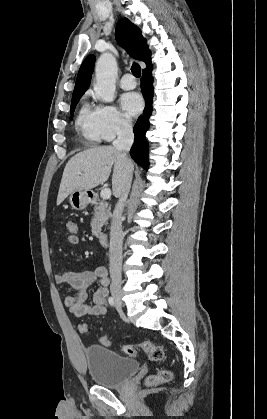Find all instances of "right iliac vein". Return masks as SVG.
<instances>
[{
  "label": "right iliac vein",
  "mask_w": 267,
  "mask_h": 419,
  "mask_svg": "<svg viewBox=\"0 0 267 419\" xmlns=\"http://www.w3.org/2000/svg\"><path fill=\"white\" fill-rule=\"evenodd\" d=\"M112 295H113L114 301L116 303V306L118 308H122L123 307V302L121 300V294H120V292L119 291H113L112 292Z\"/></svg>",
  "instance_id": "63e3f726"
}]
</instances>
